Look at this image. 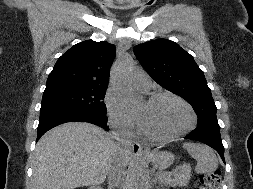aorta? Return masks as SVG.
<instances>
[{
  "mask_svg": "<svg viewBox=\"0 0 253 189\" xmlns=\"http://www.w3.org/2000/svg\"><path fill=\"white\" fill-rule=\"evenodd\" d=\"M134 71L133 60L125 56L113 68L112 76L115 88L129 107H136L141 102V96L135 92L130 84V76ZM133 189H146L144 169L136 167L133 176Z\"/></svg>",
  "mask_w": 253,
  "mask_h": 189,
  "instance_id": "762f6f07",
  "label": "aorta"
}]
</instances>
